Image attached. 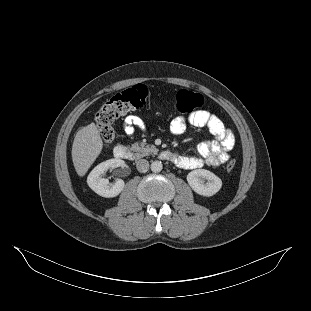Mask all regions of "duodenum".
<instances>
[{
	"instance_id": "410a0bca",
	"label": "duodenum",
	"mask_w": 311,
	"mask_h": 311,
	"mask_svg": "<svg viewBox=\"0 0 311 311\" xmlns=\"http://www.w3.org/2000/svg\"><path fill=\"white\" fill-rule=\"evenodd\" d=\"M113 153H114V156L119 159L133 160L136 157L134 152L124 145L115 146ZM159 157L163 160H168V161L175 160V155L170 151H162L159 154Z\"/></svg>"
}]
</instances>
